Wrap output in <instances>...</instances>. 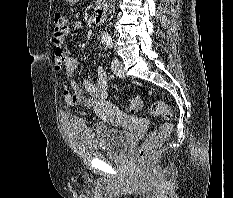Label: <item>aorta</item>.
I'll use <instances>...</instances> for the list:
<instances>
[{
  "label": "aorta",
  "instance_id": "obj_1",
  "mask_svg": "<svg viewBox=\"0 0 233 198\" xmlns=\"http://www.w3.org/2000/svg\"><path fill=\"white\" fill-rule=\"evenodd\" d=\"M102 41H109L111 39L110 35L107 32H103L101 35Z\"/></svg>",
  "mask_w": 233,
  "mask_h": 198
}]
</instances>
